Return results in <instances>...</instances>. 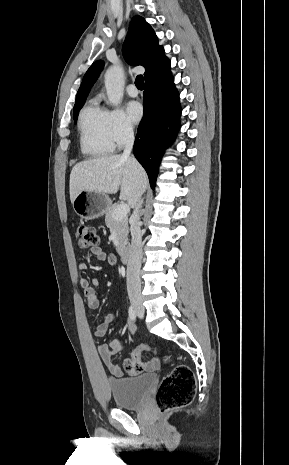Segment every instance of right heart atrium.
Wrapping results in <instances>:
<instances>
[{"label":"right heart atrium","instance_id":"1","mask_svg":"<svg viewBox=\"0 0 289 465\" xmlns=\"http://www.w3.org/2000/svg\"><path fill=\"white\" fill-rule=\"evenodd\" d=\"M108 130L113 143L117 146H122L134 138L133 125L119 108L108 111Z\"/></svg>","mask_w":289,"mask_h":465}]
</instances>
